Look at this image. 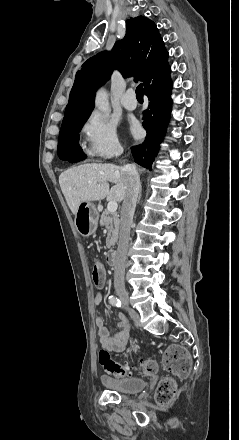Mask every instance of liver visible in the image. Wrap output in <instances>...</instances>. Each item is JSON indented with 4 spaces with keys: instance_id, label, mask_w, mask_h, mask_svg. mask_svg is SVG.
<instances>
[{
    "instance_id": "obj_1",
    "label": "liver",
    "mask_w": 239,
    "mask_h": 440,
    "mask_svg": "<svg viewBox=\"0 0 239 440\" xmlns=\"http://www.w3.org/2000/svg\"><path fill=\"white\" fill-rule=\"evenodd\" d=\"M121 168L115 164H82L62 172L59 184L72 214H76L81 202H95L104 198L122 202L126 190ZM107 182H113L115 186L109 190Z\"/></svg>"
}]
</instances>
